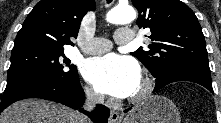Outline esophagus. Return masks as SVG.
<instances>
[{
	"instance_id": "obj_1",
	"label": "esophagus",
	"mask_w": 221,
	"mask_h": 123,
	"mask_svg": "<svg viewBox=\"0 0 221 123\" xmlns=\"http://www.w3.org/2000/svg\"><path fill=\"white\" fill-rule=\"evenodd\" d=\"M119 113L115 110L110 111L109 123H117L119 121Z\"/></svg>"
}]
</instances>
